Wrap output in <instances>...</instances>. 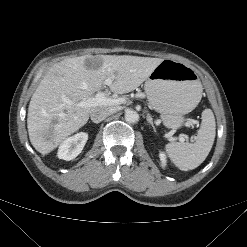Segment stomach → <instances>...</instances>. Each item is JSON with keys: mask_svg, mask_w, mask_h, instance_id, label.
<instances>
[{"mask_svg": "<svg viewBox=\"0 0 247 247\" xmlns=\"http://www.w3.org/2000/svg\"><path fill=\"white\" fill-rule=\"evenodd\" d=\"M150 106L161 115L168 129L180 128L185 115L200 102L202 85L195 70L183 63L164 59L144 84Z\"/></svg>", "mask_w": 247, "mask_h": 247, "instance_id": "stomach-1", "label": "stomach"}]
</instances>
